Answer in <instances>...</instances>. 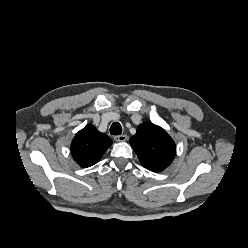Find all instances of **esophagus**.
Listing matches in <instances>:
<instances>
[{"instance_id": "34e87169", "label": "esophagus", "mask_w": 248, "mask_h": 248, "mask_svg": "<svg viewBox=\"0 0 248 248\" xmlns=\"http://www.w3.org/2000/svg\"><path fill=\"white\" fill-rule=\"evenodd\" d=\"M114 139L117 142H124L127 140V136L125 134H122V135L115 136Z\"/></svg>"}]
</instances>
